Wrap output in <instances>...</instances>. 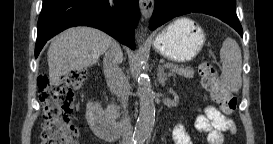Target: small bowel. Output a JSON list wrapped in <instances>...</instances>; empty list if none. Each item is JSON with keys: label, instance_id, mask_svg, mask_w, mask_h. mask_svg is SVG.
I'll return each instance as SVG.
<instances>
[{"label": "small bowel", "instance_id": "1", "mask_svg": "<svg viewBox=\"0 0 273 144\" xmlns=\"http://www.w3.org/2000/svg\"><path fill=\"white\" fill-rule=\"evenodd\" d=\"M195 128L206 136L209 144H223L225 132L231 134L237 132L234 121L227 118L214 106H207L204 112L196 117ZM173 139L175 144H192L189 134L181 124L175 126Z\"/></svg>", "mask_w": 273, "mask_h": 144}]
</instances>
